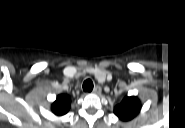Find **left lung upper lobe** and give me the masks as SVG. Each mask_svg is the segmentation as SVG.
<instances>
[{
	"label": "left lung upper lobe",
	"mask_w": 185,
	"mask_h": 128,
	"mask_svg": "<svg viewBox=\"0 0 185 128\" xmlns=\"http://www.w3.org/2000/svg\"><path fill=\"white\" fill-rule=\"evenodd\" d=\"M134 105L135 101H133L132 99H125L120 105L115 108V111L120 117L127 118L133 114Z\"/></svg>",
	"instance_id": "left-lung-upper-lobe-1"
}]
</instances>
